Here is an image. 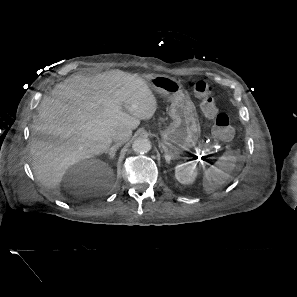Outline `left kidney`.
<instances>
[{
	"instance_id": "obj_1",
	"label": "left kidney",
	"mask_w": 297,
	"mask_h": 297,
	"mask_svg": "<svg viewBox=\"0 0 297 297\" xmlns=\"http://www.w3.org/2000/svg\"><path fill=\"white\" fill-rule=\"evenodd\" d=\"M198 175L194 161L178 164L175 167V177L181 184H192Z\"/></svg>"
}]
</instances>
